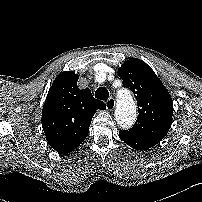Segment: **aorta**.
I'll use <instances>...</instances> for the list:
<instances>
[{
    "instance_id": "762f6f07",
    "label": "aorta",
    "mask_w": 202,
    "mask_h": 202,
    "mask_svg": "<svg viewBox=\"0 0 202 202\" xmlns=\"http://www.w3.org/2000/svg\"><path fill=\"white\" fill-rule=\"evenodd\" d=\"M137 115L136 104L127 90H122L117 95V107L115 110V119L117 123L123 128H130Z\"/></svg>"
}]
</instances>
